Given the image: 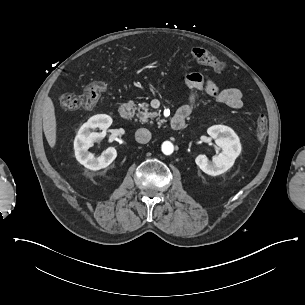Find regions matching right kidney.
<instances>
[{"mask_svg":"<svg viewBox=\"0 0 305 305\" xmlns=\"http://www.w3.org/2000/svg\"><path fill=\"white\" fill-rule=\"evenodd\" d=\"M112 120L106 115H100L93 117L88 123L84 124L74 141L75 158L85 168L97 171L108 167L117 157V151L114 147H108L104 150V155L99 158L93 159V156L87 151L89 146L95 140L100 139V133H91L88 127L101 130L102 132L107 131L111 125Z\"/></svg>","mask_w":305,"mask_h":305,"instance_id":"right-kidney-1","label":"right kidney"}]
</instances>
